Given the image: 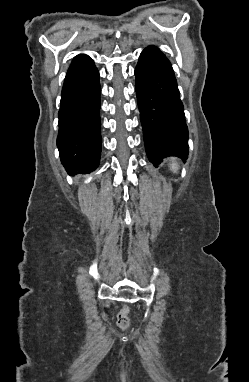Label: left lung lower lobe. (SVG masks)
Segmentation results:
<instances>
[{"mask_svg": "<svg viewBox=\"0 0 249 382\" xmlns=\"http://www.w3.org/2000/svg\"><path fill=\"white\" fill-rule=\"evenodd\" d=\"M137 102L148 159L188 157V129L177 81L168 58L155 46L142 51L135 68Z\"/></svg>", "mask_w": 249, "mask_h": 382, "instance_id": "0a47b994", "label": "left lung lower lobe"}]
</instances>
